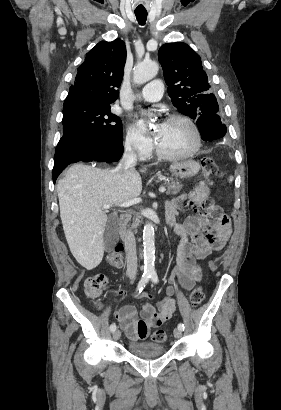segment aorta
Returning a JSON list of instances; mask_svg holds the SVG:
<instances>
[{
	"label": "aorta",
	"mask_w": 281,
	"mask_h": 410,
	"mask_svg": "<svg viewBox=\"0 0 281 410\" xmlns=\"http://www.w3.org/2000/svg\"><path fill=\"white\" fill-rule=\"evenodd\" d=\"M159 67L156 62L139 63L133 72V80L136 84H143L153 79L158 73ZM152 223L148 222L143 230L144 274L155 272V236Z\"/></svg>",
	"instance_id": "762f6f07"
}]
</instances>
